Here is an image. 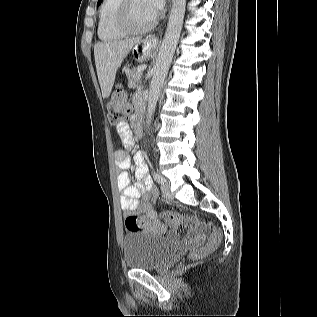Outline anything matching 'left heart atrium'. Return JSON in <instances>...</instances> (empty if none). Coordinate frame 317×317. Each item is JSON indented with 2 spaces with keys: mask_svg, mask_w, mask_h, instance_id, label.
<instances>
[{
  "mask_svg": "<svg viewBox=\"0 0 317 317\" xmlns=\"http://www.w3.org/2000/svg\"><path fill=\"white\" fill-rule=\"evenodd\" d=\"M147 3L153 15L157 17L165 4V0H147Z\"/></svg>",
  "mask_w": 317,
  "mask_h": 317,
  "instance_id": "obj_1",
  "label": "left heart atrium"
}]
</instances>
